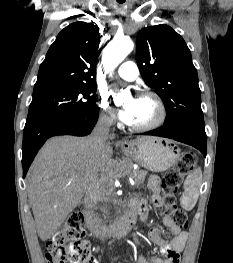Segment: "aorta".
Masks as SVG:
<instances>
[{"mask_svg":"<svg viewBox=\"0 0 233 263\" xmlns=\"http://www.w3.org/2000/svg\"><path fill=\"white\" fill-rule=\"evenodd\" d=\"M134 44L128 37H115L106 46L103 54V64L105 71H113L124 58L133 50ZM128 95V91L122 90L118 94L117 98L119 100L123 99Z\"/></svg>","mask_w":233,"mask_h":263,"instance_id":"762f6f07","label":"aorta"}]
</instances>
